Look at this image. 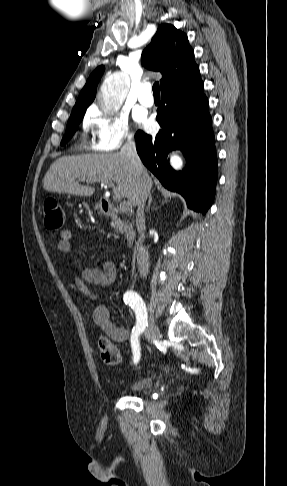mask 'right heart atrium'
Listing matches in <instances>:
<instances>
[{
    "label": "right heart atrium",
    "instance_id": "obj_1",
    "mask_svg": "<svg viewBox=\"0 0 287 486\" xmlns=\"http://www.w3.org/2000/svg\"><path fill=\"white\" fill-rule=\"evenodd\" d=\"M83 127L91 133L87 146L98 152H112L133 140L128 118L122 113L105 112L99 107L90 108Z\"/></svg>",
    "mask_w": 287,
    "mask_h": 486
}]
</instances>
